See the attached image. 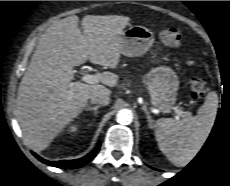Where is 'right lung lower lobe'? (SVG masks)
<instances>
[{"label": "right lung lower lobe", "mask_w": 230, "mask_h": 186, "mask_svg": "<svg viewBox=\"0 0 230 186\" xmlns=\"http://www.w3.org/2000/svg\"><path fill=\"white\" fill-rule=\"evenodd\" d=\"M99 148H100V143H98L97 147L91 153H89L88 155H86L80 159H76V160L48 161V160H45V159L39 157L34 152H32V153L41 162H43L47 165L59 167V168L70 169V168H78V167H81V166H84L85 164H87L89 161H91L96 156V154L99 151Z\"/></svg>", "instance_id": "obj_1"}]
</instances>
